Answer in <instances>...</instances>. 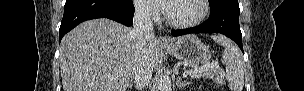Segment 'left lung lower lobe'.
<instances>
[{"label": "left lung lower lobe", "mask_w": 304, "mask_h": 91, "mask_svg": "<svg viewBox=\"0 0 304 91\" xmlns=\"http://www.w3.org/2000/svg\"><path fill=\"white\" fill-rule=\"evenodd\" d=\"M210 13L209 19L201 25L183 30H172V36L191 33H221L237 43L243 52L238 0H229L216 9L210 10Z\"/></svg>", "instance_id": "obj_1"}]
</instances>
